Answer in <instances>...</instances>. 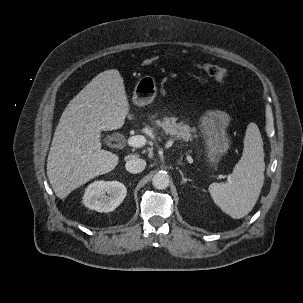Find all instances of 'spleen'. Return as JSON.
I'll use <instances>...</instances> for the list:
<instances>
[{
  "label": "spleen",
  "mask_w": 303,
  "mask_h": 303,
  "mask_svg": "<svg viewBox=\"0 0 303 303\" xmlns=\"http://www.w3.org/2000/svg\"><path fill=\"white\" fill-rule=\"evenodd\" d=\"M263 140L255 123L247 126L243 154L227 183H212L209 192L217 206L234 219L255 206L264 183Z\"/></svg>",
  "instance_id": "obj_1"
}]
</instances>
